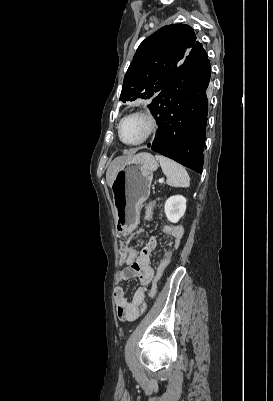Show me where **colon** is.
Instances as JSON below:
<instances>
[{"mask_svg": "<svg viewBox=\"0 0 273 401\" xmlns=\"http://www.w3.org/2000/svg\"><path fill=\"white\" fill-rule=\"evenodd\" d=\"M139 279L142 282H149L151 279V276L149 273H142V274H140Z\"/></svg>", "mask_w": 273, "mask_h": 401, "instance_id": "5ec220e1", "label": "colon"}]
</instances>
